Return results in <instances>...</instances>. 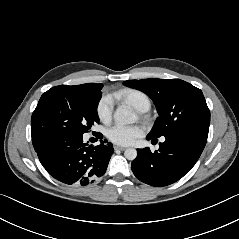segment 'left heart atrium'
Here are the masks:
<instances>
[{"label":"left heart atrium","instance_id":"left-heart-atrium-1","mask_svg":"<svg viewBox=\"0 0 239 239\" xmlns=\"http://www.w3.org/2000/svg\"><path fill=\"white\" fill-rule=\"evenodd\" d=\"M142 134L143 129L140 126L116 124L108 130L107 136L111 142L127 146L132 144Z\"/></svg>","mask_w":239,"mask_h":239}]
</instances>
